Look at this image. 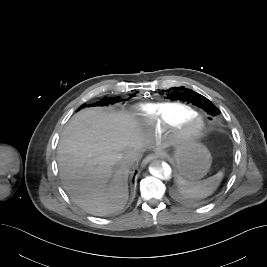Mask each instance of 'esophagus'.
<instances>
[{"mask_svg": "<svg viewBox=\"0 0 267 267\" xmlns=\"http://www.w3.org/2000/svg\"><path fill=\"white\" fill-rule=\"evenodd\" d=\"M158 158V155L156 154H151L148 155L147 157L144 158V160L142 161V166H145L146 164H148L150 161L155 160Z\"/></svg>", "mask_w": 267, "mask_h": 267, "instance_id": "esophagus-1", "label": "esophagus"}]
</instances>
